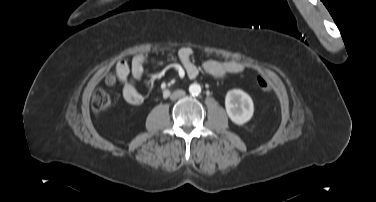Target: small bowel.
<instances>
[{"mask_svg": "<svg viewBox=\"0 0 376 202\" xmlns=\"http://www.w3.org/2000/svg\"><path fill=\"white\" fill-rule=\"evenodd\" d=\"M193 50L184 46L178 50V59L181 62L187 76L196 78L199 68L192 60ZM149 58L145 54L133 57L131 63L119 61L115 66L118 80L122 85V96L129 105L137 106L144 101L143 94L137 89L135 82L142 78L144 68ZM202 67L206 73L214 78H223L227 74H239L245 70L243 63L234 60H206Z\"/></svg>", "mask_w": 376, "mask_h": 202, "instance_id": "small-bowel-1", "label": "small bowel"}]
</instances>
